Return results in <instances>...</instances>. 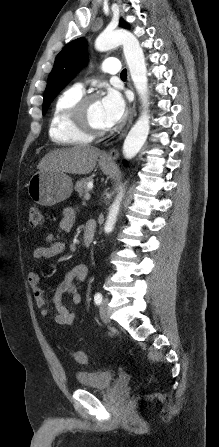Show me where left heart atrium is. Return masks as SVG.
<instances>
[{
  "label": "left heart atrium",
  "mask_w": 219,
  "mask_h": 447,
  "mask_svg": "<svg viewBox=\"0 0 219 447\" xmlns=\"http://www.w3.org/2000/svg\"><path fill=\"white\" fill-rule=\"evenodd\" d=\"M104 122L107 128L116 125L126 112V103L122 95L114 90H110L100 101Z\"/></svg>",
  "instance_id": "1"
}]
</instances>
